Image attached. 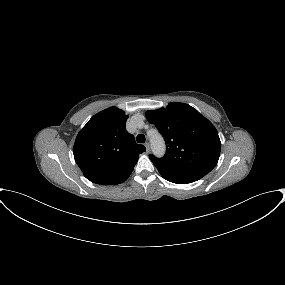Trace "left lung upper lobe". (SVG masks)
<instances>
[{"label": "left lung upper lobe", "instance_id": "left-lung-upper-lobe-1", "mask_svg": "<svg viewBox=\"0 0 285 285\" xmlns=\"http://www.w3.org/2000/svg\"><path fill=\"white\" fill-rule=\"evenodd\" d=\"M166 141V154L150 159L165 179L197 181L217 164L221 142L216 128L195 108L184 103H169L146 113Z\"/></svg>", "mask_w": 285, "mask_h": 285}]
</instances>
